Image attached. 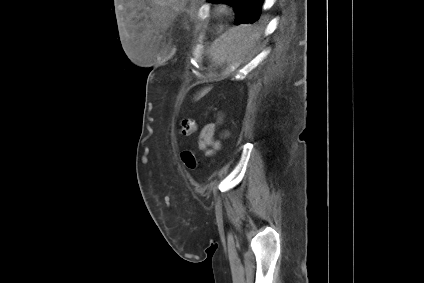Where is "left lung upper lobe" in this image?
Wrapping results in <instances>:
<instances>
[{"label":"left lung upper lobe","mask_w":424,"mask_h":283,"mask_svg":"<svg viewBox=\"0 0 424 283\" xmlns=\"http://www.w3.org/2000/svg\"><path fill=\"white\" fill-rule=\"evenodd\" d=\"M216 3L223 2L234 7L236 12L235 24H251L262 16L263 0H207Z\"/></svg>","instance_id":"5c2ea615"}]
</instances>
